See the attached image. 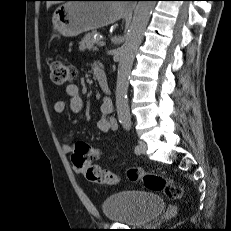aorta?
<instances>
[{
	"label": "aorta",
	"instance_id": "obj_1",
	"mask_svg": "<svg viewBox=\"0 0 231 231\" xmlns=\"http://www.w3.org/2000/svg\"><path fill=\"white\" fill-rule=\"evenodd\" d=\"M155 3V1L138 2L125 43L121 47L116 83V110L119 121L124 124L130 123L131 120L127 92L135 53L142 41Z\"/></svg>",
	"mask_w": 231,
	"mask_h": 231
}]
</instances>
